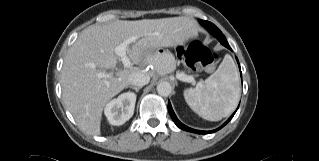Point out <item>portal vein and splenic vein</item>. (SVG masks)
Returning a JSON list of instances; mask_svg holds the SVG:
<instances>
[{"instance_id": "portal-vein-and-splenic-vein-1", "label": "portal vein and splenic vein", "mask_w": 319, "mask_h": 161, "mask_svg": "<svg viewBox=\"0 0 319 161\" xmlns=\"http://www.w3.org/2000/svg\"><path fill=\"white\" fill-rule=\"evenodd\" d=\"M136 39H137L136 37L128 38L127 40L123 41L120 45L116 46L114 49L115 54L122 61L124 68H129L132 65L129 57L127 56L126 51H127L128 45L134 42ZM98 75L100 78L108 77V75L105 73H99ZM177 78L184 82H189V83L194 82V78L192 76L182 74V73L178 74Z\"/></svg>"}]
</instances>
